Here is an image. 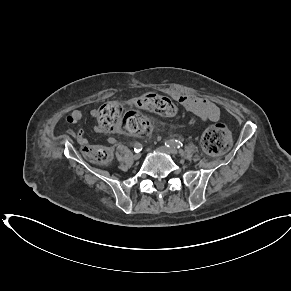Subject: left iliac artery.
<instances>
[{
    "label": "left iliac artery",
    "instance_id": "1",
    "mask_svg": "<svg viewBox=\"0 0 291 291\" xmlns=\"http://www.w3.org/2000/svg\"><path fill=\"white\" fill-rule=\"evenodd\" d=\"M165 145L170 148H182L184 145L179 140L170 139L165 142Z\"/></svg>",
    "mask_w": 291,
    "mask_h": 291
}]
</instances>
